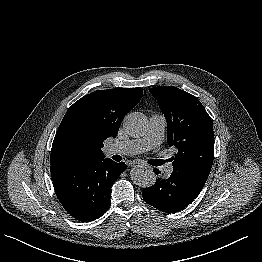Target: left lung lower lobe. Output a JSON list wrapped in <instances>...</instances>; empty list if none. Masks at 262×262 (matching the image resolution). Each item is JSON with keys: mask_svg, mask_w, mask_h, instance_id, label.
I'll list each match as a JSON object with an SVG mask.
<instances>
[{"mask_svg": "<svg viewBox=\"0 0 262 262\" xmlns=\"http://www.w3.org/2000/svg\"><path fill=\"white\" fill-rule=\"evenodd\" d=\"M158 174L160 171L154 169ZM205 182L173 171L167 179H157L143 190V199L162 212L174 213L187 207L201 192Z\"/></svg>", "mask_w": 262, "mask_h": 262, "instance_id": "obj_1", "label": "left lung lower lobe"}]
</instances>
